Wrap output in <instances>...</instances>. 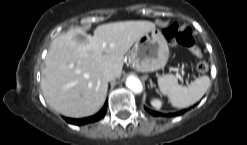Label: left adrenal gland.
<instances>
[{
	"instance_id": "1",
	"label": "left adrenal gland",
	"mask_w": 247,
	"mask_h": 145,
	"mask_svg": "<svg viewBox=\"0 0 247 145\" xmlns=\"http://www.w3.org/2000/svg\"><path fill=\"white\" fill-rule=\"evenodd\" d=\"M150 86L153 88V87H156L155 84L152 82V80L150 79Z\"/></svg>"
}]
</instances>
